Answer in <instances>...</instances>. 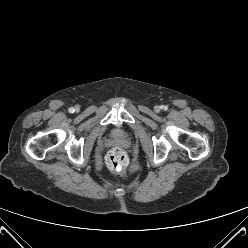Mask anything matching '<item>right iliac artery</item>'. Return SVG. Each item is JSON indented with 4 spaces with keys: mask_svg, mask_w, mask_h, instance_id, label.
Returning a JSON list of instances; mask_svg holds the SVG:
<instances>
[{
    "mask_svg": "<svg viewBox=\"0 0 248 248\" xmlns=\"http://www.w3.org/2000/svg\"><path fill=\"white\" fill-rule=\"evenodd\" d=\"M74 111H75V109L69 108V112H70V113H73Z\"/></svg>",
    "mask_w": 248,
    "mask_h": 248,
    "instance_id": "right-iliac-artery-1",
    "label": "right iliac artery"
}]
</instances>
